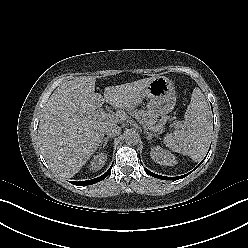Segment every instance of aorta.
I'll return each instance as SVG.
<instances>
[{
    "label": "aorta",
    "instance_id": "762f6f07",
    "mask_svg": "<svg viewBox=\"0 0 248 248\" xmlns=\"http://www.w3.org/2000/svg\"><path fill=\"white\" fill-rule=\"evenodd\" d=\"M140 140V136L135 131H129L125 135V142L129 145H136Z\"/></svg>",
    "mask_w": 248,
    "mask_h": 248
}]
</instances>
